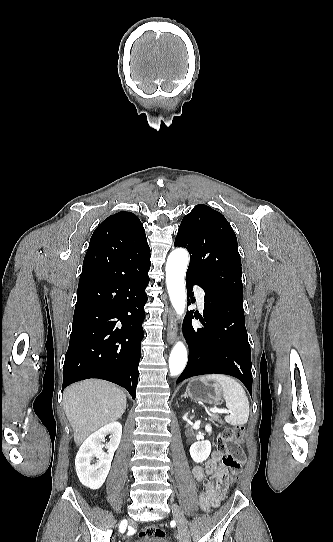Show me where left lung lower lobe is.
Listing matches in <instances>:
<instances>
[{"label":"left lung lower lobe","instance_id":"0a47b994","mask_svg":"<svg viewBox=\"0 0 333 542\" xmlns=\"http://www.w3.org/2000/svg\"><path fill=\"white\" fill-rule=\"evenodd\" d=\"M194 284L205 291L204 318L191 310L184 319L182 329L189 346V358L176 383L197 375L227 374L238 378L252 394L251 349L244 322L243 297L206 289L199 279L186 273L188 300L191 298L188 305L195 302ZM194 317L204 328L192 326Z\"/></svg>","mask_w":333,"mask_h":542}]
</instances>
